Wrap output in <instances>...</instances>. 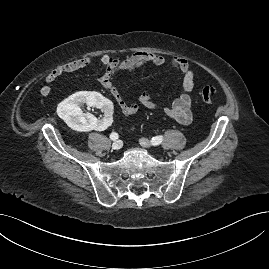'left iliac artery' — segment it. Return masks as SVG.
<instances>
[{"label": "left iliac artery", "instance_id": "left-iliac-artery-1", "mask_svg": "<svg viewBox=\"0 0 269 269\" xmlns=\"http://www.w3.org/2000/svg\"><path fill=\"white\" fill-rule=\"evenodd\" d=\"M163 140V136H155L151 139L152 145H159Z\"/></svg>", "mask_w": 269, "mask_h": 269}]
</instances>
